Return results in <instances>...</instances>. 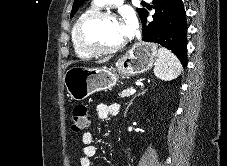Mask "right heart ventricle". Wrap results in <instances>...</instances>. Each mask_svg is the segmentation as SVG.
I'll return each instance as SVG.
<instances>
[{
    "label": "right heart ventricle",
    "instance_id": "right-heart-ventricle-1",
    "mask_svg": "<svg viewBox=\"0 0 227 166\" xmlns=\"http://www.w3.org/2000/svg\"><path fill=\"white\" fill-rule=\"evenodd\" d=\"M99 9V6L95 4H93L89 9L85 10L83 13H81L78 18L76 19L73 27H72V30H71V43H72V48L75 52V54L81 58H90L91 55L82 51L80 48H78V46L76 45L75 43V40H74V32H75V27L77 25V23L87 14L91 13V12H94V11H97Z\"/></svg>",
    "mask_w": 227,
    "mask_h": 166
}]
</instances>
